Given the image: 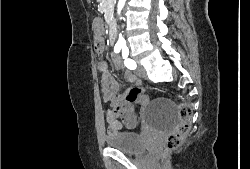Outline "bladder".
<instances>
[{
	"mask_svg": "<svg viewBox=\"0 0 250 169\" xmlns=\"http://www.w3.org/2000/svg\"><path fill=\"white\" fill-rule=\"evenodd\" d=\"M105 143L110 150L120 151L129 155H140L150 145H142L140 134L133 133H113L108 134Z\"/></svg>",
	"mask_w": 250,
	"mask_h": 169,
	"instance_id": "31cf9c89",
	"label": "bladder"
}]
</instances>
